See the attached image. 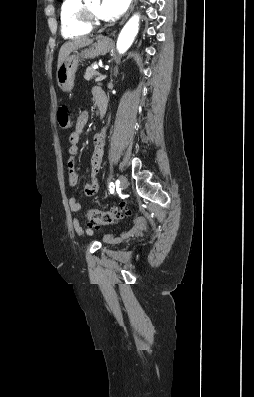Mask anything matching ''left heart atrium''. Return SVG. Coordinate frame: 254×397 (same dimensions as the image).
Returning a JSON list of instances; mask_svg holds the SVG:
<instances>
[{
  "label": "left heart atrium",
  "mask_w": 254,
  "mask_h": 397,
  "mask_svg": "<svg viewBox=\"0 0 254 397\" xmlns=\"http://www.w3.org/2000/svg\"><path fill=\"white\" fill-rule=\"evenodd\" d=\"M130 0H102L99 12L102 18L112 20L120 17L129 5Z\"/></svg>",
  "instance_id": "obj_1"
}]
</instances>
